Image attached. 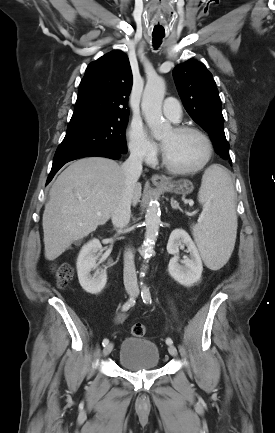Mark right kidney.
<instances>
[{
	"mask_svg": "<svg viewBox=\"0 0 275 433\" xmlns=\"http://www.w3.org/2000/svg\"><path fill=\"white\" fill-rule=\"evenodd\" d=\"M102 245L98 239L85 244L77 258V273L82 288L91 294L100 293L107 282L105 270H97L93 276L90 272L96 267V260L101 255Z\"/></svg>",
	"mask_w": 275,
	"mask_h": 433,
	"instance_id": "ca27d5eb",
	"label": "right kidney"
}]
</instances>
